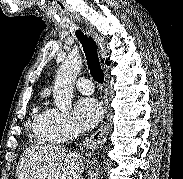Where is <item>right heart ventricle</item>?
<instances>
[{
  "instance_id": "e07e8e85",
  "label": "right heart ventricle",
  "mask_w": 183,
  "mask_h": 179,
  "mask_svg": "<svg viewBox=\"0 0 183 179\" xmlns=\"http://www.w3.org/2000/svg\"><path fill=\"white\" fill-rule=\"evenodd\" d=\"M48 112L49 110H40L38 108L32 120V127L42 142L51 140L44 129V122Z\"/></svg>"
}]
</instances>
